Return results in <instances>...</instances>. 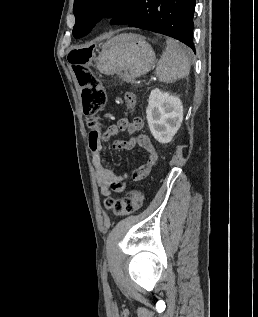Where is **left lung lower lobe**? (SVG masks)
<instances>
[{
    "mask_svg": "<svg viewBox=\"0 0 258 317\" xmlns=\"http://www.w3.org/2000/svg\"><path fill=\"white\" fill-rule=\"evenodd\" d=\"M195 4L196 0H139L127 25L170 36L195 52Z\"/></svg>",
    "mask_w": 258,
    "mask_h": 317,
    "instance_id": "left-lung-lower-lobe-1",
    "label": "left lung lower lobe"
}]
</instances>
